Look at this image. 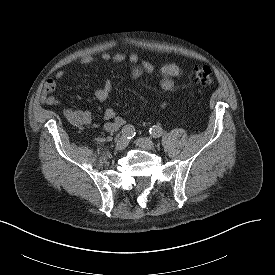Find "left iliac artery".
Masks as SVG:
<instances>
[{
    "instance_id": "obj_1",
    "label": "left iliac artery",
    "mask_w": 275,
    "mask_h": 275,
    "mask_svg": "<svg viewBox=\"0 0 275 275\" xmlns=\"http://www.w3.org/2000/svg\"><path fill=\"white\" fill-rule=\"evenodd\" d=\"M150 134L154 138H159L163 135L164 131L160 126H152L149 130Z\"/></svg>"
}]
</instances>
